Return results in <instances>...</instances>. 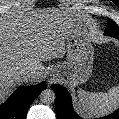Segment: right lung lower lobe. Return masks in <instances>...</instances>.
Listing matches in <instances>:
<instances>
[{
    "label": "right lung lower lobe",
    "instance_id": "98d812e1",
    "mask_svg": "<svg viewBox=\"0 0 119 119\" xmlns=\"http://www.w3.org/2000/svg\"><path fill=\"white\" fill-rule=\"evenodd\" d=\"M46 88L42 82L34 86H25L16 90L11 97L0 106V119H25L28 107Z\"/></svg>",
    "mask_w": 119,
    "mask_h": 119
}]
</instances>
